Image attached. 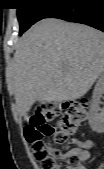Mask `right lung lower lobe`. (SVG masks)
<instances>
[{
	"label": "right lung lower lobe",
	"instance_id": "right-lung-lower-lobe-1",
	"mask_svg": "<svg viewBox=\"0 0 104 169\" xmlns=\"http://www.w3.org/2000/svg\"><path fill=\"white\" fill-rule=\"evenodd\" d=\"M46 18L82 23L104 32V0H67Z\"/></svg>",
	"mask_w": 104,
	"mask_h": 169
}]
</instances>
